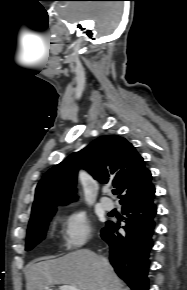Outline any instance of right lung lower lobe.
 Wrapping results in <instances>:
<instances>
[{
    "label": "right lung lower lobe",
    "mask_w": 187,
    "mask_h": 290,
    "mask_svg": "<svg viewBox=\"0 0 187 290\" xmlns=\"http://www.w3.org/2000/svg\"><path fill=\"white\" fill-rule=\"evenodd\" d=\"M153 198L122 207V213L127 216L124 233H120L118 224L112 221H107L101 230V237L110 246L112 266L132 290H148L149 254L157 213Z\"/></svg>",
    "instance_id": "right-lung-lower-lobe-1"
}]
</instances>
